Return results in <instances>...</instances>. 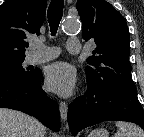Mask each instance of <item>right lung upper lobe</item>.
<instances>
[{
	"label": "right lung upper lobe",
	"mask_w": 144,
	"mask_h": 137,
	"mask_svg": "<svg viewBox=\"0 0 144 137\" xmlns=\"http://www.w3.org/2000/svg\"><path fill=\"white\" fill-rule=\"evenodd\" d=\"M47 0H6L0 6V68L24 60L25 39L40 34Z\"/></svg>",
	"instance_id": "obj_1"
}]
</instances>
